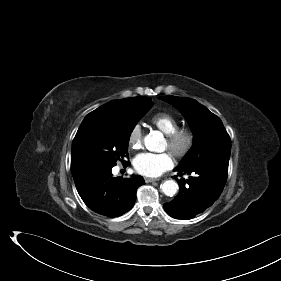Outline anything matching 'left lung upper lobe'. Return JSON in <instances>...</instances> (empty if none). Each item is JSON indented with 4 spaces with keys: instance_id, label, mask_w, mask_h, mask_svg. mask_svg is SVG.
Instances as JSON below:
<instances>
[{
    "instance_id": "left-lung-upper-lobe-1",
    "label": "left lung upper lobe",
    "mask_w": 281,
    "mask_h": 281,
    "mask_svg": "<svg viewBox=\"0 0 281 281\" xmlns=\"http://www.w3.org/2000/svg\"><path fill=\"white\" fill-rule=\"evenodd\" d=\"M160 99L177 107L188 120L194 133L193 147L179 167L190 168L203 163H229L231 140L219 117L190 98L168 95Z\"/></svg>"
}]
</instances>
